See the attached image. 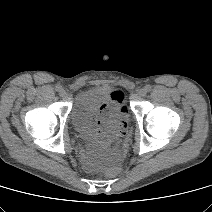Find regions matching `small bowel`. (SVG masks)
Segmentation results:
<instances>
[{
    "instance_id": "1",
    "label": "small bowel",
    "mask_w": 212,
    "mask_h": 212,
    "mask_svg": "<svg viewBox=\"0 0 212 212\" xmlns=\"http://www.w3.org/2000/svg\"><path fill=\"white\" fill-rule=\"evenodd\" d=\"M116 94L117 97H123V93L120 91H116ZM91 120L100 134L122 132L121 123L113 114L111 106L108 103L101 104L91 115Z\"/></svg>"
}]
</instances>
